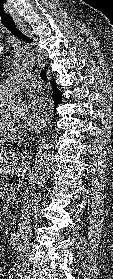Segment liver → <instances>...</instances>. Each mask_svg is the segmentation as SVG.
Instances as JSON below:
<instances>
[{
	"label": "liver",
	"mask_w": 113,
	"mask_h": 279,
	"mask_svg": "<svg viewBox=\"0 0 113 279\" xmlns=\"http://www.w3.org/2000/svg\"><path fill=\"white\" fill-rule=\"evenodd\" d=\"M17 155L13 152L1 150L0 152V174H15L17 176H25L26 169L16 167Z\"/></svg>",
	"instance_id": "obj_1"
}]
</instances>
